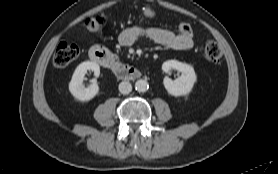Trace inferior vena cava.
<instances>
[{
	"label": "inferior vena cava",
	"mask_w": 278,
	"mask_h": 174,
	"mask_svg": "<svg viewBox=\"0 0 278 174\" xmlns=\"http://www.w3.org/2000/svg\"><path fill=\"white\" fill-rule=\"evenodd\" d=\"M119 91L122 94H129L132 91V85L127 81H123L119 84Z\"/></svg>",
	"instance_id": "602c4592"
}]
</instances>
